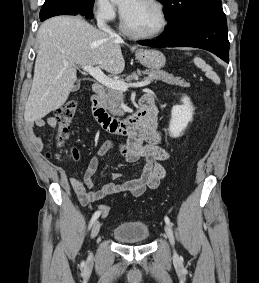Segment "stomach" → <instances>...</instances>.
Instances as JSON below:
<instances>
[{"label": "stomach", "mask_w": 259, "mask_h": 283, "mask_svg": "<svg viewBox=\"0 0 259 283\" xmlns=\"http://www.w3.org/2000/svg\"><path fill=\"white\" fill-rule=\"evenodd\" d=\"M135 55L142 65L152 70H159L166 63L164 54L156 49H138Z\"/></svg>", "instance_id": "stomach-1"}]
</instances>
